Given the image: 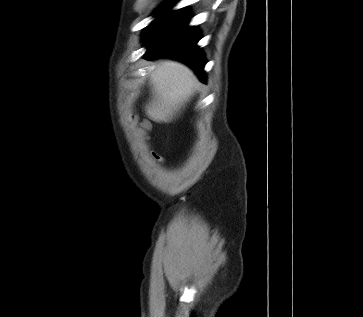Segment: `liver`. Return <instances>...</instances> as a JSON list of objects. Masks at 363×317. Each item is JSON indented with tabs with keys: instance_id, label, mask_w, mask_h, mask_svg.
<instances>
[{
	"instance_id": "obj_1",
	"label": "liver",
	"mask_w": 363,
	"mask_h": 317,
	"mask_svg": "<svg viewBox=\"0 0 363 317\" xmlns=\"http://www.w3.org/2000/svg\"><path fill=\"white\" fill-rule=\"evenodd\" d=\"M151 74L152 101L146 106L147 115L156 122H169L194 95L199 83L184 64L161 59Z\"/></svg>"
}]
</instances>
